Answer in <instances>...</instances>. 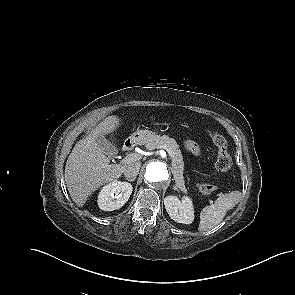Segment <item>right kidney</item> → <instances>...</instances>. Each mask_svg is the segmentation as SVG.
<instances>
[{
	"label": "right kidney",
	"instance_id": "obj_1",
	"mask_svg": "<svg viewBox=\"0 0 295 295\" xmlns=\"http://www.w3.org/2000/svg\"><path fill=\"white\" fill-rule=\"evenodd\" d=\"M133 187L130 183L113 181L104 186L98 195V205L103 211L121 208L129 199Z\"/></svg>",
	"mask_w": 295,
	"mask_h": 295
}]
</instances>
